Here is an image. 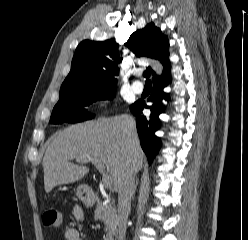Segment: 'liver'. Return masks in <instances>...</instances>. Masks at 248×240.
<instances>
[{
    "instance_id": "obj_1",
    "label": "liver",
    "mask_w": 248,
    "mask_h": 240,
    "mask_svg": "<svg viewBox=\"0 0 248 240\" xmlns=\"http://www.w3.org/2000/svg\"><path fill=\"white\" fill-rule=\"evenodd\" d=\"M78 163L87 160L102 163L112 175L114 190L130 161L134 173L141 170L144 154L137 137L134 119L128 115L101 118L69 126L56 133L43 158L44 186L46 193L54 187L76 182L89 172V168Z\"/></svg>"
}]
</instances>
